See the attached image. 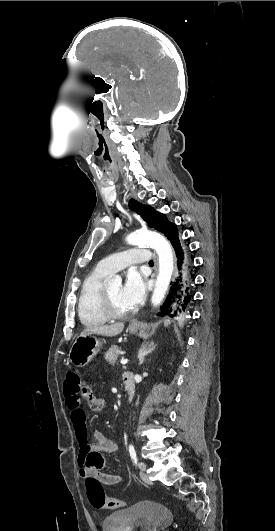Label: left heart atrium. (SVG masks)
Here are the masks:
<instances>
[{
    "instance_id": "obj_1",
    "label": "left heart atrium",
    "mask_w": 275,
    "mask_h": 531,
    "mask_svg": "<svg viewBox=\"0 0 275 531\" xmlns=\"http://www.w3.org/2000/svg\"><path fill=\"white\" fill-rule=\"evenodd\" d=\"M146 289V276L136 268L126 272L122 285V297L130 308L137 307L143 300Z\"/></svg>"
}]
</instances>
